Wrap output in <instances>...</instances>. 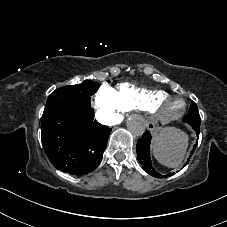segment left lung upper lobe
<instances>
[{"label":"left lung upper lobe","mask_w":227,"mask_h":227,"mask_svg":"<svg viewBox=\"0 0 227 227\" xmlns=\"http://www.w3.org/2000/svg\"><path fill=\"white\" fill-rule=\"evenodd\" d=\"M183 121L189 123L190 125L200 126L201 119L199 111L196 104L193 101L191 102L190 110L188 114L184 116Z\"/></svg>","instance_id":"left-lung-upper-lobe-1"}]
</instances>
